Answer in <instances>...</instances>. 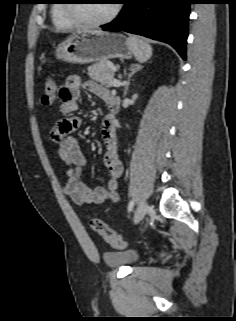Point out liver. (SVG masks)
<instances>
[{
	"label": "liver",
	"mask_w": 236,
	"mask_h": 321,
	"mask_svg": "<svg viewBox=\"0 0 236 321\" xmlns=\"http://www.w3.org/2000/svg\"><path fill=\"white\" fill-rule=\"evenodd\" d=\"M92 32H102V31H92Z\"/></svg>",
	"instance_id": "6515ba94"
}]
</instances>
